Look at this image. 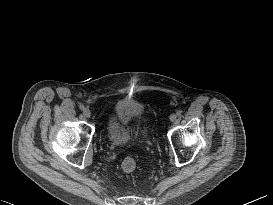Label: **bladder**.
<instances>
[{
    "mask_svg": "<svg viewBox=\"0 0 273 205\" xmlns=\"http://www.w3.org/2000/svg\"><path fill=\"white\" fill-rule=\"evenodd\" d=\"M147 129V117L143 105L135 99L117 101L106 124L109 143L125 147L137 140Z\"/></svg>",
    "mask_w": 273,
    "mask_h": 205,
    "instance_id": "obj_1",
    "label": "bladder"
}]
</instances>
